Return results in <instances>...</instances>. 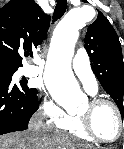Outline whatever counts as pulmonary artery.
<instances>
[{"mask_svg":"<svg viewBox=\"0 0 124 149\" xmlns=\"http://www.w3.org/2000/svg\"><path fill=\"white\" fill-rule=\"evenodd\" d=\"M73 70L77 77L82 82L85 90L91 94L95 95L98 92V82L92 71L90 61L88 55L85 50H78L74 62H73ZM40 72L39 69L29 68L24 74L26 76H35Z\"/></svg>","mask_w":124,"mask_h":149,"instance_id":"pulmonary-artery-1","label":"pulmonary artery"}]
</instances>
